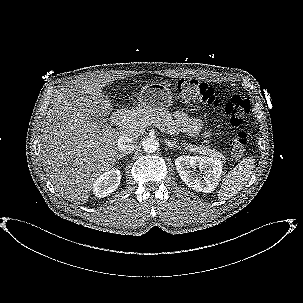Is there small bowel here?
<instances>
[{
    "label": "small bowel",
    "instance_id": "obj_1",
    "mask_svg": "<svg viewBox=\"0 0 303 303\" xmlns=\"http://www.w3.org/2000/svg\"><path fill=\"white\" fill-rule=\"evenodd\" d=\"M176 122L181 131L189 136H198L202 130V122L198 117L184 111L176 113Z\"/></svg>",
    "mask_w": 303,
    "mask_h": 303
}]
</instances>
